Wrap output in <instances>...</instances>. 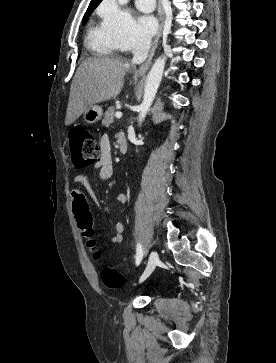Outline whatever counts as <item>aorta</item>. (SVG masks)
Returning a JSON list of instances; mask_svg holds the SVG:
<instances>
[{"mask_svg":"<svg viewBox=\"0 0 276 363\" xmlns=\"http://www.w3.org/2000/svg\"><path fill=\"white\" fill-rule=\"evenodd\" d=\"M127 2H128V0H118V3L120 5H125ZM165 64H166L165 56L157 58L147 76V80H146V84H145V88H144L143 101L140 105V111H139V116H138L139 124H141L144 121V119L154 101V98L156 96L158 87L160 85V82H161V79L163 76Z\"/></svg>","mask_w":276,"mask_h":363,"instance_id":"aorta-1","label":"aorta"}]
</instances>
